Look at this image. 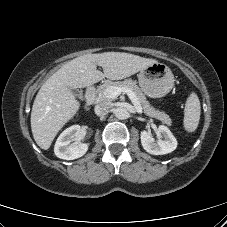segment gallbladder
<instances>
[{"mask_svg":"<svg viewBox=\"0 0 227 227\" xmlns=\"http://www.w3.org/2000/svg\"><path fill=\"white\" fill-rule=\"evenodd\" d=\"M73 93L76 95V96H81L82 92L78 89H74L73 90Z\"/></svg>","mask_w":227,"mask_h":227,"instance_id":"bac80fb5","label":"gallbladder"}]
</instances>
